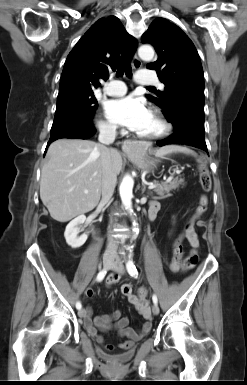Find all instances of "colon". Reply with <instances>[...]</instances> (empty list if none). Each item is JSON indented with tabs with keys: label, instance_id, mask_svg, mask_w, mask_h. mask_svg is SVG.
<instances>
[{
	"label": "colon",
	"instance_id": "5ec220e1",
	"mask_svg": "<svg viewBox=\"0 0 247 385\" xmlns=\"http://www.w3.org/2000/svg\"><path fill=\"white\" fill-rule=\"evenodd\" d=\"M199 178H200V184L202 187V190L204 192H208L211 189V177L210 173L206 167L205 161L202 160L201 164L199 165ZM208 205V199L205 194H202L200 197V204L197 208V212L202 214L206 211ZM173 256H174V262L177 264L185 263L189 266H195L198 261V256L196 253L190 254L184 261H183V246L181 243V239H177L174 242L173 245ZM122 294L126 295L130 293V288L128 285H124L121 287Z\"/></svg>",
	"mask_w": 247,
	"mask_h": 385
}]
</instances>
